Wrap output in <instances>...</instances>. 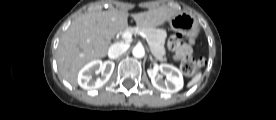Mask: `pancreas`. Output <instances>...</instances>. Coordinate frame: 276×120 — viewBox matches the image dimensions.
<instances>
[{
  "mask_svg": "<svg viewBox=\"0 0 276 120\" xmlns=\"http://www.w3.org/2000/svg\"><path fill=\"white\" fill-rule=\"evenodd\" d=\"M126 31L132 33L144 32L147 36V42L150 46L151 52L153 55L160 61H165V48L164 42L166 38V32L160 29L151 28V27H135L127 28Z\"/></svg>",
  "mask_w": 276,
  "mask_h": 120,
  "instance_id": "pancreas-1",
  "label": "pancreas"
}]
</instances>
